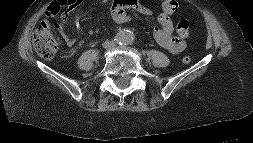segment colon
<instances>
[{
    "instance_id": "colon-1",
    "label": "colon",
    "mask_w": 253,
    "mask_h": 143,
    "mask_svg": "<svg viewBox=\"0 0 253 143\" xmlns=\"http://www.w3.org/2000/svg\"><path fill=\"white\" fill-rule=\"evenodd\" d=\"M83 0H55L48 7V12L51 15H56L62 8H75L79 6ZM189 22L181 20L177 25V33L181 37L187 38L189 36ZM33 45L39 56L42 58H52L58 51V42L55 39L49 22L43 21L42 27L33 34ZM191 57L185 55L182 58L184 64L191 62Z\"/></svg>"
}]
</instances>
